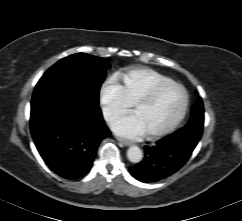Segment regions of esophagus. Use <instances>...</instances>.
Instances as JSON below:
<instances>
[{
	"label": "esophagus",
	"mask_w": 242,
	"mask_h": 221,
	"mask_svg": "<svg viewBox=\"0 0 242 221\" xmlns=\"http://www.w3.org/2000/svg\"><path fill=\"white\" fill-rule=\"evenodd\" d=\"M117 140H118L120 143L124 144L125 146H131V145H133L132 142H130V141H128V140H125V139H123V138H117Z\"/></svg>",
	"instance_id": "1"
}]
</instances>
